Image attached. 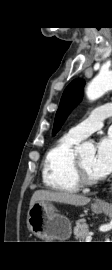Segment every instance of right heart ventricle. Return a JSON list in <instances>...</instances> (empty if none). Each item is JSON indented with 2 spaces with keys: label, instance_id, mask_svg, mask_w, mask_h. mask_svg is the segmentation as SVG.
<instances>
[{
  "label": "right heart ventricle",
  "instance_id": "right-heart-ventricle-1",
  "mask_svg": "<svg viewBox=\"0 0 112 270\" xmlns=\"http://www.w3.org/2000/svg\"><path fill=\"white\" fill-rule=\"evenodd\" d=\"M79 141L66 134L47 151L43 162L42 179L50 190L69 194L79 191L80 186L73 173L75 147Z\"/></svg>",
  "mask_w": 112,
  "mask_h": 270
}]
</instances>
